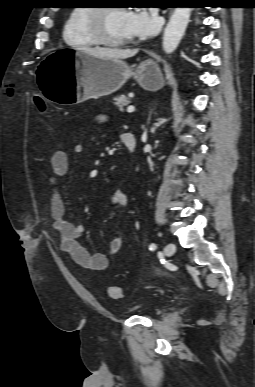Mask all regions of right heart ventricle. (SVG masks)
<instances>
[{
    "instance_id": "e07e8e85",
    "label": "right heart ventricle",
    "mask_w": 255,
    "mask_h": 387,
    "mask_svg": "<svg viewBox=\"0 0 255 387\" xmlns=\"http://www.w3.org/2000/svg\"><path fill=\"white\" fill-rule=\"evenodd\" d=\"M90 9L89 6H76L70 11L63 27V40L67 45L82 49L98 44L88 29Z\"/></svg>"
}]
</instances>
